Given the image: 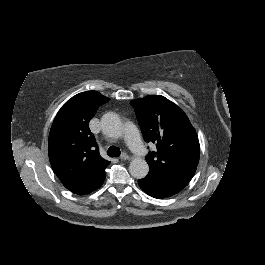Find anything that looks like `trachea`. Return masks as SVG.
Returning <instances> with one entry per match:
<instances>
[{
  "instance_id": "3493384b",
  "label": "trachea",
  "mask_w": 265,
  "mask_h": 265,
  "mask_svg": "<svg viewBox=\"0 0 265 265\" xmlns=\"http://www.w3.org/2000/svg\"><path fill=\"white\" fill-rule=\"evenodd\" d=\"M107 154L111 157H118V156H120L121 151L119 148H117L115 146H111L108 148Z\"/></svg>"
}]
</instances>
